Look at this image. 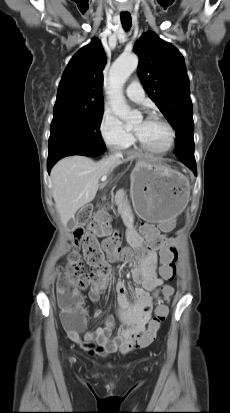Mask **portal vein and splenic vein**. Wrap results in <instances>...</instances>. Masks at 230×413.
<instances>
[{
  "mask_svg": "<svg viewBox=\"0 0 230 413\" xmlns=\"http://www.w3.org/2000/svg\"><path fill=\"white\" fill-rule=\"evenodd\" d=\"M106 179H107V176H102V177H101V181H102V182L106 181Z\"/></svg>",
  "mask_w": 230,
  "mask_h": 413,
  "instance_id": "18ae733b",
  "label": "portal vein and splenic vein"
}]
</instances>
